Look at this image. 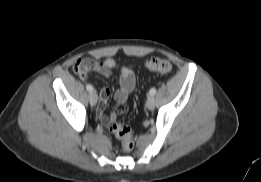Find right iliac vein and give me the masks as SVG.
I'll return each mask as SVG.
<instances>
[{"mask_svg": "<svg viewBox=\"0 0 261 182\" xmlns=\"http://www.w3.org/2000/svg\"><path fill=\"white\" fill-rule=\"evenodd\" d=\"M89 101L91 103V105H96L97 101H98V97L96 92H90L89 93Z\"/></svg>", "mask_w": 261, "mask_h": 182, "instance_id": "right-iliac-vein-1", "label": "right iliac vein"}]
</instances>
